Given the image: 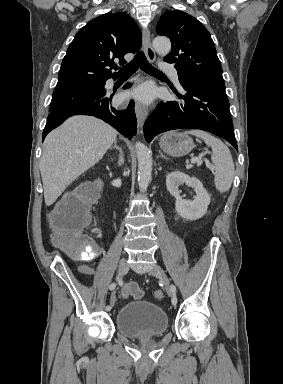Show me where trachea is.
Here are the masks:
<instances>
[{"label": "trachea", "instance_id": "3493384b", "mask_svg": "<svg viewBox=\"0 0 283 384\" xmlns=\"http://www.w3.org/2000/svg\"><path fill=\"white\" fill-rule=\"evenodd\" d=\"M141 68L146 73H149L150 75H162L165 76L164 73L160 72V70H157V68L153 67L151 63L148 62L146 59V56L144 55V52H138L134 59L128 63L126 66L122 68L123 74L131 75L133 74L138 68Z\"/></svg>", "mask_w": 283, "mask_h": 384}]
</instances>
